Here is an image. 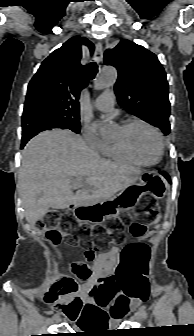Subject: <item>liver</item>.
<instances>
[{
	"instance_id": "6515ba94",
	"label": "liver",
	"mask_w": 194,
	"mask_h": 336,
	"mask_svg": "<svg viewBox=\"0 0 194 336\" xmlns=\"http://www.w3.org/2000/svg\"><path fill=\"white\" fill-rule=\"evenodd\" d=\"M140 174L138 168L101 158L71 131L40 133L22 151L19 176L26 220L34 226L49 208L109 200L134 184ZM74 189L79 190L74 194Z\"/></svg>"
}]
</instances>
